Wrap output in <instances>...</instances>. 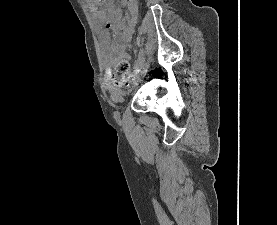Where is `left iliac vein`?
Listing matches in <instances>:
<instances>
[{"mask_svg": "<svg viewBox=\"0 0 277 225\" xmlns=\"http://www.w3.org/2000/svg\"><path fill=\"white\" fill-rule=\"evenodd\" d=\"M147 68H148V65H147V63L145 64V66H144V69L136 76V78L139 80L140 78H142L144 75H145V73L147 72Z\"/></svg>", "mask_w": 277, "mask_h": 225, "instance_id": "4c4485c4", "label": "left iliac vein"}]
</instances>
